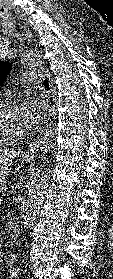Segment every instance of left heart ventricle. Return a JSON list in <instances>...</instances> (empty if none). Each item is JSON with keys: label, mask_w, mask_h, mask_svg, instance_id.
<instances>
[{"label": "left heart ventricle", "mask_w": 113, "mask_h": 279, "mask_svg": "<svg viewBox=\"0 0 113 279\" xmlns=\"http://www.w3.org/2000/svg\"><path fill=\"white\" fill-rule=\"evenodd\" d=\"M1 130L8 135H22L26 134L24 127L21 108L8 109L2 112L0 116Z\"/></svg>", "instance_id": "1"}]
</instances>
